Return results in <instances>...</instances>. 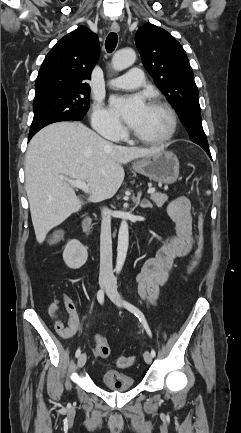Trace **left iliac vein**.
Segmentation results:
<instances>
[{
  "mask_svg": "<svg viewBox=\"0 0 241 433\" xmlns=\"http://www.w3.org/2000/svg\"><path fill=\"white\" fill-rule=\"evenodd\" d=\"M106 294L114 304H116L119 307H123L121 297L117 291L116 284L114 281H111L108 284L106 288ZM144 360L147 364H151L152 362V356L148 351L144 352Z\"/></svg>",
  "mask_w": 241,
  "mask_h": 433,
  "instance_id": "1",
  "label": "left iliac vein"
}]
</instances>
